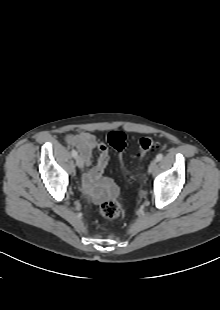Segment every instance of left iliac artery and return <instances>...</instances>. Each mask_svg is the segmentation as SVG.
Here are the masks:
<instances>
[{"label":"left iliac artery","instance_id":"left-iliac-artery-1","mask_svg":"<svg viewBox=\"0 0 220 310\" xmlns=\"http://www.w3.org/2000/svg\"><path fill=\"white\" fill-rule=\"evenodd\" d=\"M163 159V154L162 153H159L157 156H156V160L157 161H161Z\"/></svg>","mask_w":220,"mask_h":310}]
</instances>
